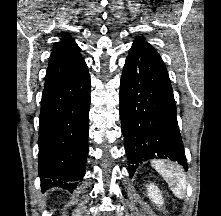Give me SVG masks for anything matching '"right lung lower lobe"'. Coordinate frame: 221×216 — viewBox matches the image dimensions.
<instances>
[{
    "instance_id": "obj_1",
    "label": "right lung lower lobe",
    "mask_w": 221,
    "mask_h": 216,
    "mask_svg": "<svg viewBox=\"0 0 221 216\" xmlns=\"http://www.w3.org/2000/svg\"><path fill=\"white\" fill-rule=\"evenodd\" d=\"M89 106L88 69L43 92L38 140L42 191L54 186L73 191L84 176Z\"/></svg>"
}]
</instances>
